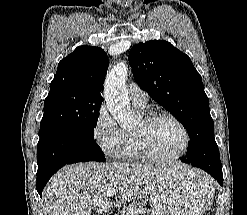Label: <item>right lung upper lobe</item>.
<instances>
[{"mask_svg": "<svg viewBox=\"0 0 247 215\" xmlns=\"http://www.w3.org/2000/svg\"><path fill=\"white\" fill-rule=\"evenodd\" d=\"M107 68L108 57L104 50L79 46L59 62L50 92L70 89L76 95L102 101L101 91Z\"/></svg>", "mask_w": 247, "mask_h": 215, "instance_id": "cb5924a9", "label": "right lung upper lobe"}]
</instances>
